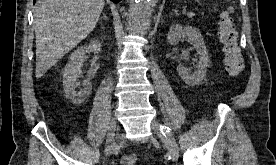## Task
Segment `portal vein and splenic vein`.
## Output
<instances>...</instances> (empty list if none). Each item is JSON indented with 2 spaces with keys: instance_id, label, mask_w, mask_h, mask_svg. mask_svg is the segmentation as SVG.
Listing matches in <instances>:
<instances>
[{
  "instance_id": "1",
  "label": "portal vein and splenic vein",
  "mask_w": 276,
  "mask_h": 165,
  "mask_svg": "<svg viewBox=\"0 0 276 165\" xmlns=\"http://www.w3.org/2000/svg\"><path fill=\"white\" fill-rule=\"evenodd\" d=\"M193 16H194V13H193V12H189V13H188V17H189V18H191V17H193Z\"/></svg>"
}]
</instances>
